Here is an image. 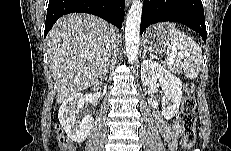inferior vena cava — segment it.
<instances>
[{"label":"inferior vena cava","instance_id":"obj_1","mask_svg":"<svg viewBox=\"0 0 231 151\" xmlns=\"http://www.w3.org/2000/svg\"><path fill=\"white\" fill-rule=\"evenodd\" d=\"M115 42L116 41H112L111 45H110V49L113 48L115 46Z\"/></svg>","mask_w":231,"mask_h":151}]
</instances>
